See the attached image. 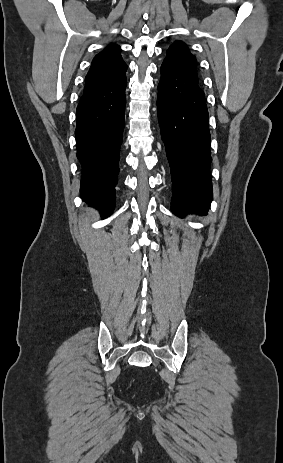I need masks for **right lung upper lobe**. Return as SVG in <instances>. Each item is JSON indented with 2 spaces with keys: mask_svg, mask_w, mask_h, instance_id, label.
Wrapping results in <instances>:
<instances>
[{
  "mask_svg": "<svg viewBox=\"0 0 283 463\" xmlns=\"http://www.w3.org/2000/svg\"><path fill=\"white\" fill-rule=\"evenodd\" d=\"M120 50L118 45L110 44L94 57L86 75L84 92L107 85L125 75L127 65L120 56Z\"/></svg>",
  "mask_w": 283,
  "mask_h": 463,
  "instance_id": "right-lung-upper-lobe-1",
  "label": "right lung upper lobe"
}]
</instances>
